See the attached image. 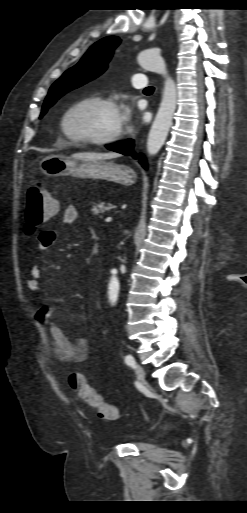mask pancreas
Wrapping results in <instances>:
<instances>
[{
    "label": "pancreas",
    "instance_id": "pancreas-1",
    "mask_svg": "<svg viewBox=\"0 0 247 513\" xmlns=\"http://www.w3.org/2000/svg\"><path fill=\"white\" fill-rule=\"evenodd\" d=\"M114 208H116V206L111 203L105 204L104 202H101L93 205L92 212L95 215L104 214L105 212H109Z\"/></svg>",
    "mask_w": 247,
    "mask_h": 513
}]
</instances>
